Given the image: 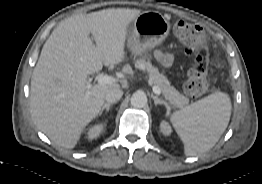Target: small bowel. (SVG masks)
Here are the masks:
<instances>
[{"label":"small bowel","mask_w":262,"mask_h":184,"mask_svg":"<svg viewBox=\"0 0 262 184\" xmlns=\"http://www.w3.org/2000/svg\"><path fill=\"white\" fill-rule=\"evenodd\" d=\"M156 58L160 61V63L166 67H170L174 62L173 55L169 53H164L161 51H156L155 53Z\"/></svg>","instance_id":"obj_1"}]
</instances>
